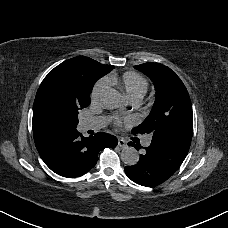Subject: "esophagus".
<instances>
[{
    "instance_id": "esophagus-1",
    "label": "esophagus",
    "mask_w": 228,
    "mask_h": 228,
    "mask_svg": "<svg viewBox=\"0 0 228 228\" xmlns=\"http://www.w3.org/2000/svg\"><path fill=\"white\" fill-rule=\"evenodd\" d=\"M118 146L122 147V148L127 147V142L123 138H119L118 139Z\"/></svg>"
}]
</instances>
